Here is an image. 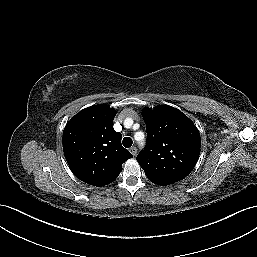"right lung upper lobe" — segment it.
I'll list each match as a JSON object with an SVG mask.
<instances>
[{"instance_id":"1","label":"right lung upper lobe","mask_w":257,"mask_h":257,"mask_svg":"<svg viewBox=\"0 0 257 257\" xmlns=\"http://www.w3.org/2000/svg\"><path fill=\"white\" fill-rule=\"evenodd\" d=\"M116 110L93 105L77 113L63 131V151L73 174L93 186L113 182L132 155L112 126Z\"/></svg>"}]
</instances>
